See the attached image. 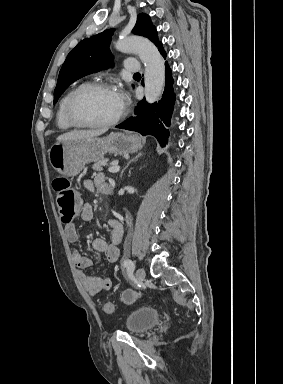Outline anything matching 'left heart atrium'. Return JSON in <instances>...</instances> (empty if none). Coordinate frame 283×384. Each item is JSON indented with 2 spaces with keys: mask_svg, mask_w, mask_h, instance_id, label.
Instances as JSON below:
<instances>
[{
  "mask_svg": "<svg viewBox=\"0 0 283 384\" xmlns=\"http://www.w3.org/2000/svg\"><path fill=\"white\" fill-rule=\"evenodd\" d=\"M113 93L119 107L122 108L125 105V100H126L124 93L121 91H115Z\"/></svg>",
  "mask_w": 283,
  "mask_h": 384,
  "instance_id": "obj_1",
  "label": "left heart atrium"
}]
</instances>
